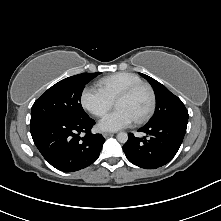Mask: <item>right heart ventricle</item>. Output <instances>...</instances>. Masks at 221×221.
I'll return each instance as SVG.
<instances>
[{"label": "right heart ventricle", "instance_id": "right-heart-ventricle-1", "mask_svg": "<svg viewBox=\"0 0 221 221\" xmlns=\"http://www.w3.org/2000/svg\"><path fill=\"white\" fill-rule=\"evenodd\" d=\"M142 82V79L134 73L119 72L98 81L99 89L112 101L129 86Z\"/></svg>", "mask_w": 221, "mask_h": 221}]
</instances>
